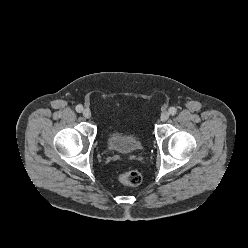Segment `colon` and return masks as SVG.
Segmentation results:
<instances>
[{
	"instance_id": "5ec220e1",
	"label": "colon",
	"mask_w": 248,
	"mask_h": 248,
	"mask_svg": "<svg viewBox=\"0 0 248 248\" xmlns=\"http://www.w3.org/2000/svg\"><path fill=\"white\" fill-rule=\"evenodd\" d=\"M119 181L127 186H138L142 181L141 174L138 171L130 170L119 174Z\"/></svg>"
}]
</instances>
